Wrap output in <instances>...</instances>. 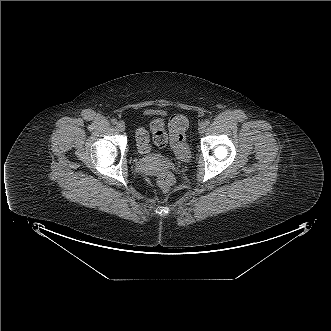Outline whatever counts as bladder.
I'll use <instances>...</instances> for the list:
<instances>
[{"mask_svg": "<svg viewBox=\"0 0 331 331\" xmlns=\"http://www.w3.org/2000/svg\"><path fill=\"white\" fill-rule=\"evenodd\" d=\"M160 156L157 155V154H150L148 155V158L151 159V160H155V159H158Z\"/></svg>", "mask_w": 331, "mask_h": 331, "instance_id": "bladder-1", "label": "bladder"}]
</instances>
